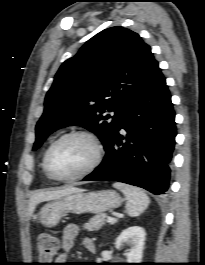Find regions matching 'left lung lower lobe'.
Returning <instances> with one entry per match:
<instances>
[{"label": "left lung lower lobe", "mask_w": 205, "mask_h": 265, "mask_svg": "<svg viewBox=\"0 0 205 265\" xmlns=\"http://www.w3.org/2000/svg\"><path fill=\"white\" fill-rule=\"evenodd\" d=\"M175 136L171 95L157 63L122 109L103 162L84 180L119 181L166 194Z\"/></svg>", "instance_id": "obj_1"}]
</instances>
